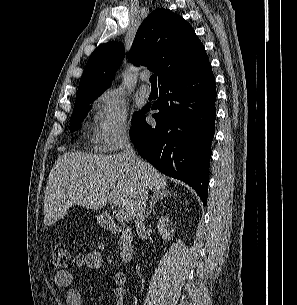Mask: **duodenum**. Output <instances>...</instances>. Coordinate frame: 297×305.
<instances>
[{
    "mask_svg": "<svg viewBox=\"0 0 297 305\" xmlns=\"http://www.w3.org/2000/svg\"><path fill=\"white\" fill-rule=\"evenodd\" d=\"M100 223L105 229L121 236L120 259L124 263L130 262L133 259L135 252L131 231L127 228L119 227L113 217L109 214L101 215Z\"/></svg>",
    "mask_w": 297,
    "mask_h": 305,
    "instance_id": "410a0bca",
    "label": "duodenum"
}]
</instances>
